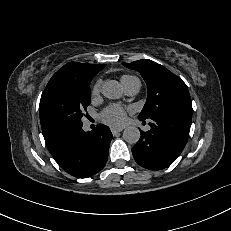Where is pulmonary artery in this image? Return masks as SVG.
<instances>
[{"mask_svg": "<svg viewBox=\"0 0 231 231\" xmlns=\"http://www.w3.org/2000/svg\"><path fill=\"white\" fill-rule=\"evenodd\" d=\"M124 89L126 93L130 96L136 95L140 90V81L133 77L130 80H128L124 85Z\"/></svg>", "mask_w": 231, "mask_h": 231, "instance_id": "pulmonary-artery-1", "label": "pulmonary artery"}]
</instances>
